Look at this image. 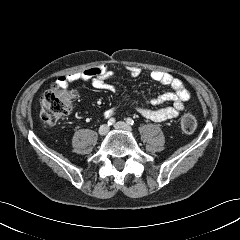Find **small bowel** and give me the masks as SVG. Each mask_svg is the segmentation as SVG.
Returning <instances> with one entry per match:
<instances>
[{
	"mask_svg": "<svg viewBox=\"0 0 240 240\" xmlns=\"http://www.w3.org/2000/svg\"><path fill=\"white\" fill-rule=\"evenodd\" d=\"M128 71L133 77L140 74V69L137 67H128ZM150 76L153 82L168 86L172 91L166 92L144 104H139L137 106L138 112L143 117L155 122H163L177 117L185 109V102L190 97L189 91L180 79L175 78L167 72L152 71ZM112 77L113 73L106 65H97L60 76L56 84L59 87L66 88L74 82H90L96 89L116 92V86L109 82ZM168 102L172 104L170 106L159 107ZM113 113V108L107 109L105 116H112Z\"/></svg>",
	"mask_w": 240,
	"mask_h": 240,
	"instance_id": "obj_1",
	"label": "small bowel"
}]
</instances>
